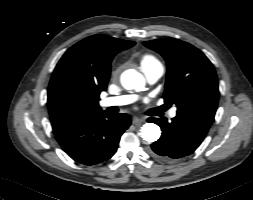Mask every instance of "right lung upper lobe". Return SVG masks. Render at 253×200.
<instances>
[{"label":"right lung upper lobe","instance_id":"right-lung-upper-lobe-1","mask_svg":"<svg viewBox=\"0 0 253 200\" xmlns=\"http://www.w3.org/2000/svg\"><path fill=\"white\" fill-rule=\"evenodd\" d=\"M135 42L93 35L76 43L62 56L48 87L53 128L102 113L99 95L106 90L113 57Z\"/></svg>","mask_w":253,"mask_h":200}]
</instances>
